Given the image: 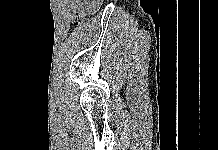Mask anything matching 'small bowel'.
I'll list each match as a JSON object with an SVG mask.
<instances>
[{
  "mask_svg": "<svg viewBox=\"0 0 218 150\" xmlns=\"http://www.w3.org/2000/svg\"><path fill=\"white\" fill-rule=\"evenodd\" d=\"M103 0H71V3L77 5L80 9L95 10Z\"/></svg>",
  "mask_w": 218,
  "mask_h": 150,
  "instance_id": "1",
  "label": "small bowel"
}]
</instances>
